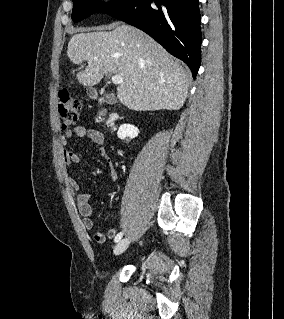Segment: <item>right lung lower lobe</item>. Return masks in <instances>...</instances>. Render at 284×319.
Instances as JSON below:
<instances>
[{
  "mask_svg": "<svg viewBox=\"0 0 284 319\" xmlns=\"http://www.w3.org/2000/svg\"><path fill=\"white\" fill-rule=\"evenodd\" d=\"M199 0H132L107 14L133 25L184 61L196 77L201 63Z\"/></svg>",
  "mask_w": 284,
  "mask_h": 319,
  "instance_id": "right-lung-lower-lobe-1",
  "label": "right lung lower lobe"
}]
</instances>
